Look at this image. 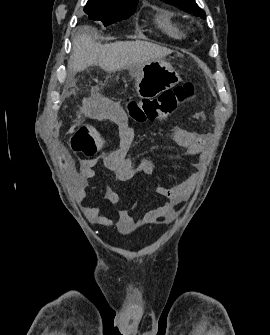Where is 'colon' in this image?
<instances>
[{
    "label": "colon",
    "mask_w": 270,
    "mask_h": 335,
    "mask_svg": "<svg viewBox=\"0 0 270 335\" xmlns=\"http://www.w3.org/2000/svg\"><path fill=\"white\" fill-rule=\"evenodd\" d=\"M194 92V86L186 83L165 90L158 97L132 99L126 105V109L135 123H152L171 114ZM104 144L105 141L91 125L81 126L71 137L72 151L86 158L95 157Z\"/></svg>",
    "instance_id": "1"
}]
</instances>
